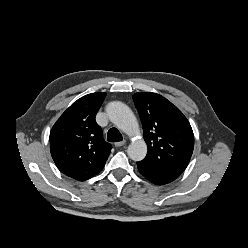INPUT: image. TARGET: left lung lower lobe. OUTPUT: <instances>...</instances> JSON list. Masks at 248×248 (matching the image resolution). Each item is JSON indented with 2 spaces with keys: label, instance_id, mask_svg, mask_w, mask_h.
Listing matches in <instances>:
<instances>
[{
  "label": "left lung lower lobe",
  "instance_id": "obj_1",
  "mask_svg": "<svg viewBox=\"0 0 248 248\" xmlns=\"http://www.w3.org/2000/svg\"><path fill=\"white\" fill-rule=\"evenodd\" d=\"M139 172L150 182L156 185H164L174 181L182 172L163 168L145 160L137 162Z\"/></svg>",
  "mask_w": 248,
  "mask_h": 248
}]
</instances>
